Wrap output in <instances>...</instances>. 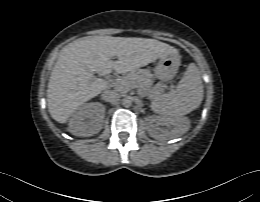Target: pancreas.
<instances>
[{
    "label": "pancreas",
    "mask_w": 260,
    "mask_h": 202,
    "mask_svg": "<svg viewBox=\"0 0 260 202\" xmlns=\"http://www.w3.org/2000/svg\"><path fill=\"white\" fill-rule=\"evenodd\" d=\"M153 74L147 69L132 71L112 83V87L119 93H126L132 88H138L139 93L149 99L158 97L161 92V84L154 85Z\"/></svg>",
    "instance_id": "cf45deb5"
}]
</instances>
